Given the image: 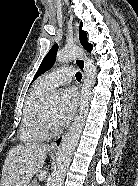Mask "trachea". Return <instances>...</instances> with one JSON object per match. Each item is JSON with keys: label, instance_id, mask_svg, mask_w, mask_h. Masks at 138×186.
I'll return each instance as SVG.
<instances>
[{"label": "trachea", "instance_id": "3493384b", "mask_svg": "<svg viewBox=\"0 0 138 186\" xmlns=\"http://www.w3.org/2000/svg\"><path fill=\"white\" fill-rule=\"evenodd\" d=\"M81 78H82V74H81L80 72H77V73H76V79H77L78 81H80Z\"/></svg>", "mask_w": 138, "mask_h": 186}]
</instances>
